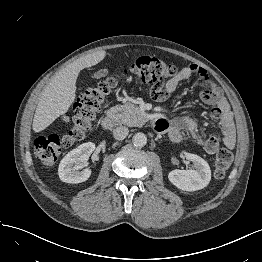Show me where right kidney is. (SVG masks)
<instances>
[{"instance_id":"obj_1","label":"right kidney","mask_w":262,"mask_h":262,"mask_svg":"<svg viewBox=\"0 0 262 262\" xmlns=\"http://www.w3.org/2000/svg\"><path fill=\"white\" fill-rule=\"evenodd\" d=\"M94 150L95 144L87 142L70 151L59 164V178L66 183L86 181L91 176V170H78L87 165L88 158Z\"/></svg>"}]
</instances>
